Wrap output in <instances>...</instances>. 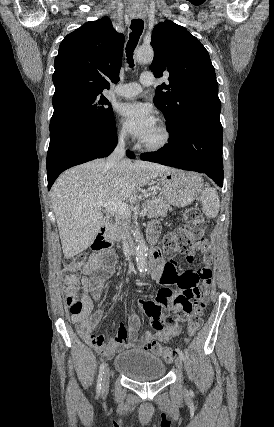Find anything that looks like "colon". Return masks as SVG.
Masks as SVG:
<instances>
[{
	"instance_id": "obj_1",
	"label": "colon",
	"mask_w": 274,
	"mask_h": 427,
	"mask_svg": "<svg viewBox=\"0 0 274 427\" xmlns=\"http://www.w3.org/2000/svg\"><path fill=\"white\" fill-rule=\"evenodd\" d=\"M186 223L181 226H174L171 232L164 237L162 252L175 253L176 248H188L197 242L198 236H204L205 222L201 211L196 207H189L185 211ZM83 262L81 255L68 258L63 264L65 273L66 305L72 315H80L83 311V304L78 290L79 265ZM159 292V291H158ZM206 309H197L192 317H188L190 328L186 331L187 336L181 338L182 346H191L192 340L196 339V334L203 329V318H206ZM150 350H154L155 356L159 359H168L169 363L175 362V357L171 356L170 347H160L159 341H149L146 345Z\"/></svg>"
}]
</instances>
